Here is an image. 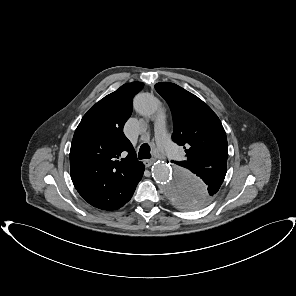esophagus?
Here are the masks:
<instances>
[{
    "label": "esophagus",
    "instance_id": "1",
    "mask_svg": "<svg viewBox=\"0 0 296 296\" xmlns=\"http://www.w3.org/2000/svg\"><path fill=\"white\" fill-rule=\"evenodd\" d=\"M154 160L153 159H146L144 160V164L146 167H150L153 164Z\"/></svg>",
    "mask_w": 296,
    "mask_h": 296
}]
</instances>
